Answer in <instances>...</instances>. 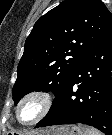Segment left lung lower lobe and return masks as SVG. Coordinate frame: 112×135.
<instances>
[{
    "mask_svg": "<svg viewBox=\"0 0 112 135\" xmlns=\"http://www.w3.org/2000/svg\"><path fill=\"white\" fill-rule=\"evenodd\" d=\"M76 123L112 135V24L83 57L36 128Z\"/></svg>",
    "mask_w": 112,
    "mask_h": 135,
    "instance_id": "1",
    "label": "left lung lower lobe"
}]
</instances>
